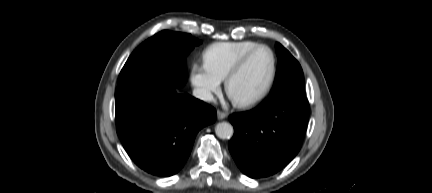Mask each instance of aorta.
<instances>
[{
	"label": "aorta",
	"mask_w": 432,
	"mask_h": 193,
	"mask_svg": "<svg viewBox=\"0 0 432 193\" xmlns=\"http://www.w3.org/2000/svg\"><path fill=\"white\" fill-rule=\"evenodd\" d=\"M215 133L220 139H229L233 136V126L228 122H220L215 127Z\"/></svg>",
	"instance_id": "obj_1"
}]
</instances>
